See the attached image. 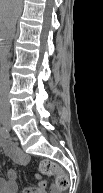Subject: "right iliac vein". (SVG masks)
I'll use <instances>...</instances> for the list:
<instances>
[{
	"label": "right iliac vein",
	"instance_id": "1",
	"mask_svg": "<svg viewBox=\"0 0 103 193\" xmlns=\"http://www.w3.org/2000/svg\"><path fill=\"white\" fill-rule=\"evenodd\" d=\"M4 125H5L6 127H9V122H5Z\"/></svg>",
	"mask_w": 103,
	"mask_h": 193
}]
</instances>
